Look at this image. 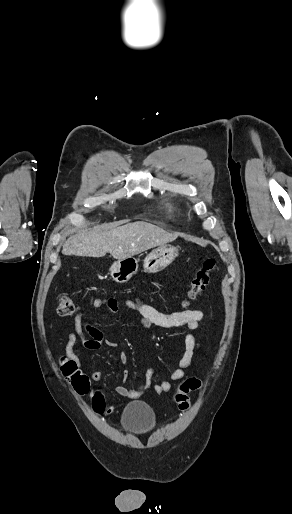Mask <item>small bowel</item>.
Listing matches in <instances>:
<instances>
[{
	"instance_id": "1",
	"label": "small bowel",
	"mask_w": 292,
	"mask_h": 514,
	"mask_svg": "<svg viewBox=\"0 0 292 514\" xmlns=\"http://www.w3.org/2000/svg\"><path fill=\"white\" fill-rule=\"evenodd\" d=\"M125 304L130 311L137 314L139 323L145 330H151L153 327L163 329L185 327L190 331H195L199 328V324L203 319V312L195 309L172 314L161 313L153 306L144 302L140 297L127 299ZM103 306H106L110 312L115 313L118 310L119 303L115 297H109L107 299L96 297L92 300L93 308L100 309ZM78 340H80L84 347L89 350H97L102 345L109 349H115L118 347L117 342L113 340H104L102 332L97 327L86 322L80 312L77 313L74 318V331L67 334V341L65 344V354L73 361L72 365L74 367H79L81 365V362L78 360L74 350ZM184 344L185 351L178 362L176 369L169 375V380L160 382L153 386L155 393L162 394L168 392L171 389V383L184 378L186 371L193 366L195 354L200 347V341L197 340L192 333H187L184 336ZM128 360V354L126 352H121L119 355L120 363L124 365ZM154 375L155 370L149 368L145 373L144 386L140 390H131L126 386L119 384L116 386V393L123 398L139 397L144 391L152 386ZM128 376V371H124L121 375L122 381H125ZM89 377L94 381H99L102 378V374L99 371H92L89 373ZM108 408L110 409V411L107 412L108 416L117 412V409L113 405H110Z\"/></svg>"
}]
</instances>
